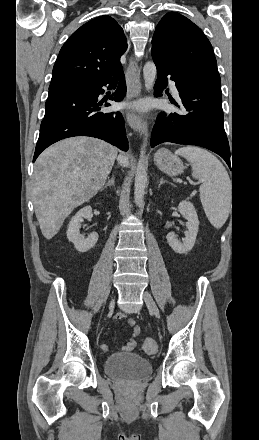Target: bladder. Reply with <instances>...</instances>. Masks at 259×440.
Returning a JSON list of instances; mask_svg holds the SVG:
<instances>
[{
  "label": "bladder",
  "mask_w": 259,
  "mask_h": 440,
  "mask_svg": "<svg viewBox=\"0 0 259 440\" xmlns=\"http://www.w3.org/2000/svg\"><path fill=\"white\" fill-rule=\"evenodd\" d=\"M104 371L113 379L138 381L151 375L152 364L136 353L119 352L105 359Z\"/></svg>",
  "instance_id": "1"
}]
</instances>
